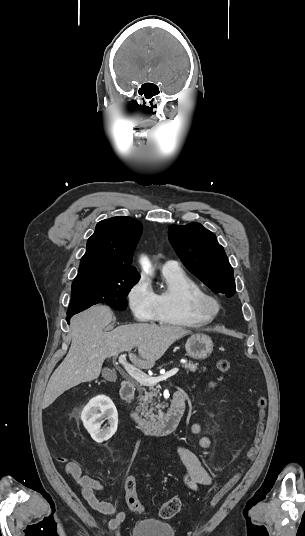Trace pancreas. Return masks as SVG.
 Wrapping results in <instances>:
<instances>
[{
	"instance_id": "1",
	"label": "pancreas",
	"mask_w": 305,
	"mask_h": 536,
	"mask_svg": "<svg viewBox=\"0 0 305 536\" xmlns=\"http://www.w3.org/2000/svg\"><path fill=\"white\" fill-rule=\"evenodd\" d=\"M198 364H193V362H188V364H182V368L185 370H190V372H196ZM205 370V368H204ZM155 384H150L147 388H142V386H137L139 392L138 396V410H141V414L150 424H155L156 418L163 416L164 412L158 410L161 408V404H157L156 400L160 402L158 396V390L154 388ZM150 408V410H148Z\"/></svg>"
}]
</instances>
